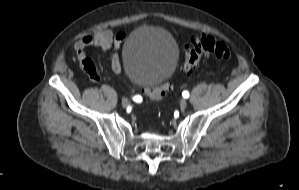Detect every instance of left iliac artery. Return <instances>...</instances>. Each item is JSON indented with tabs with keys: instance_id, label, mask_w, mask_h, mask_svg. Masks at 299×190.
Segmentation results:
<instances>
[{
	"instance_id": "1",
	"label": "left iliac artery",
	"mask_w": 299,
	"mask_h": 190,
	"mask_svg": "<svg viewBox=\"0 0 299 190\" xmlns=\"http://www.w3.org/2000/svg\"><path fill=\"white\" fill-rule=\"evenodd\" d=\"M182 96H183L184 98H188V97H189V92H188V91H183V92H182Z\"/></svg>"
}]
</instances>
